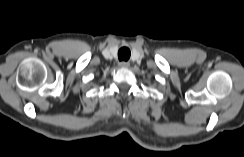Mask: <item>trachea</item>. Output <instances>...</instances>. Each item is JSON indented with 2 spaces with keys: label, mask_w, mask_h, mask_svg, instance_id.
<instances>
[{
  "label": "trachea",
  "mask_w": 244,
  "mask_h": 157,
  "mask_svg": "<svg viewBox=\"0 0 244 157\" xmlns=\"http://www.w3.org/2000/svg\"><path fill=\"white\" fill-rule=\"evenodd\" d=\"M131 52L129 50V48L127 47H122L119 51H118V58L120 61H127L130 58Z\"/></svg>",
  "instance_id": "3493384b"
}]
</instances>
